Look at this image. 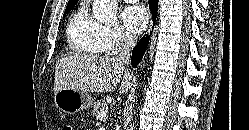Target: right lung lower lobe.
Returning <instances> with one entry per match:
<instances>
[{"label":"right lung lower lobe","instance_id":"98d812e1","mask_svg":"<svg viewBox=\"0 0 249 130\" xmlns=\"http://www.w3.org/2000/svg\"><path fill=\"white\" fill-rule=\"evenodd\" d=\"M149 8L151 10V13L153 15V19L155 22L156 16H157V8H158V2L157 0H149ZM149 41L148 37H143L137 45L133 48L132 52V58H131V64L133 67H137V64L140 62V59L143 56L144 49L147 46V43Z\"/></svg>","mask_w":249,"mask_h":130}]
</instances>
